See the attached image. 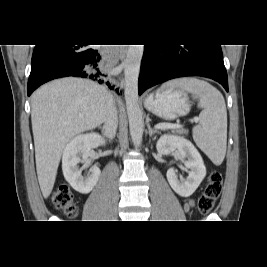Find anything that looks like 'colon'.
<instances>
[{"instance_id": "obj_1", "label": "colon", "mask_w": 267, "mask_h": 267, "mask_svg": "<svg viewBox=\"0 0 267 267\" xmlns=\"http://www.w3.org/2000/svg\"><path fill=\"white\" fill-rule=\"evenodd\" d=\"M223 177L220 172L213 170L208 176L207 185L198 199V210L201 214H208L214 207L221 194ZM55 207L68 217L77 215V207L73 192L67 184H60L54 192Z\"/></svg>"}]
</instances>
